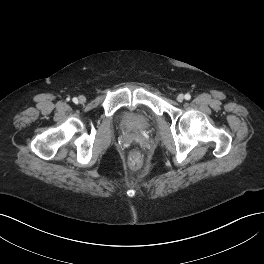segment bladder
Returning a JSON list of instances; mask_svg holds the SVG:
<instances>
[{"instance_id":"bladder-1","label":"bladder","mask_w":264,"mask_h":264,"mask_svg":"<svg viewBox=\"0 0 264 264\" xmlns=\"http://www.w3.org/2000/svg\"><path fill=\"white\" fill-rule=\"evenodd\" d=\"M121 121L126 129L142 130L150 126L152 116L147 110L128 111L123 114Z\"/></svg>"}]
</instances>
